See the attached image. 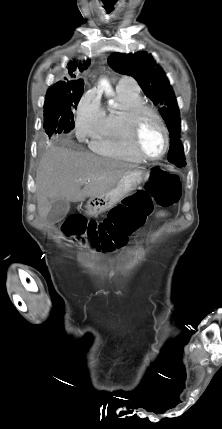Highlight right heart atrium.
<instances>
[{
    "mask_svg": "<svg viewBox=\"0 0 222 429\" xmlns=\"http://www.w3.org/2000/svg\"><path fill=\"white\" fill-rule=\"evenodd\" d=\"M105 113L96 94L86 93L79 101L75 113V131L80 141L92 138L100 129Z\"/></svg>",
    "mask_w": 222,
    "mask_h": 429,
    "instance_id": "1",
    "label": "right heart atrium"
}]
</instances>
